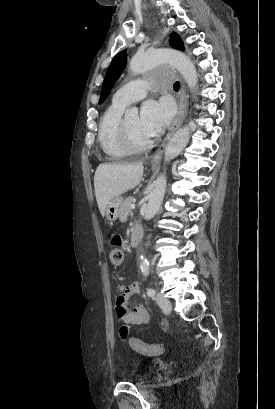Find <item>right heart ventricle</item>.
<instances>
[{
	"instance_id": "obj_1",
	"label": "right heart ventricle",
	"mask_w": 275,
	"mask_h": 409,
	"mask_svg": "<svg viewBox=\"0 0 275 409\" xmlns=\"http://www.w3.org/2000/svg\"><path fill=\"white\" fill-rule=\"evenodd\" d=\"M125 107L112 104L101 117L98 129V142L106 157H124L128 155L120 132V124Z\"/></svg>"
}]
</instances>
